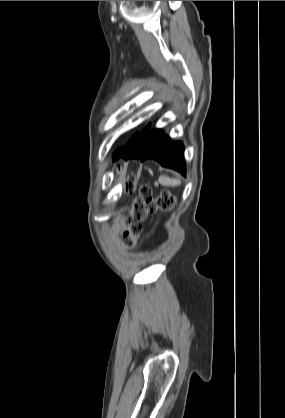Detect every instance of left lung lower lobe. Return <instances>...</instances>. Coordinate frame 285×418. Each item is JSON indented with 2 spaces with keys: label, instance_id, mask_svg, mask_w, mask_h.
Instances as JSON below:
<instances>
[{
  "label": "left lung lower lobe",
  "instance_id": "0a47b994",
  "mask_svg": "<svg viewBox=\"0 0 285 418\" xmlns=\"http://www.w3.org/2000/svg\"><path fill=\"white\" fill-rule=\"evenodd\" d=\"M184 146L181 142H172L162 130L143 129L130 143L128 148L113 160L123 157L128 159H154L162 166L172 168L180 173L186 172L183 157Z\"/></svg>",
  "mask_w": 285,
  "mask_h": 418
}]
</instances>
